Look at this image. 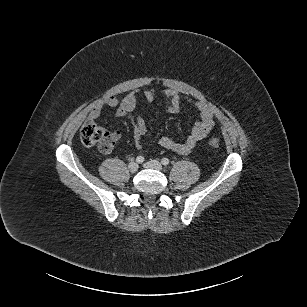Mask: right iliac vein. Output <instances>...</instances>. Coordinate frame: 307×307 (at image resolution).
<instances>
[{
    "instance_id": "right-iliac-vein-1",
    "label": "right iliac vein",
    "mask_w": 307,
    "mask_h": 307,
    "mask_svg": "<svg viewBox=\"0 0 307 307\" xmlns=\"http://www.w3.org/2000/svg\"><path fill=\"white\" fill-rule=\"evenodd\" d=\"M128 170L131 172V173H134L138 170V164L135 163V162H131L129 163L128 165Z\"/></svg>"
}]
</instances>
